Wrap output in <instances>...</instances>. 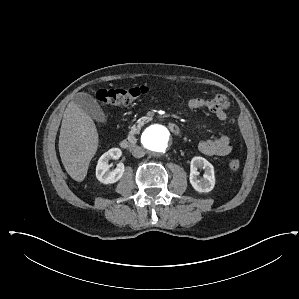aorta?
I'll return each mask as SVG.
<instances>
[{
	"mask_svg": "<svg viewBox=\"0 0 299 299\" xmlns=\"http://www.w3.org/2000/svg\"><path fill=\"white\" fill-rule=\"evenodd\" d=\"M171 143L169 131L161 125H153L142 135V144L151 153L165 152Z\"/></svg>",
	"mask_w": 299,
	"mask_h": 299,
	"instance_id": "obj_1",
	"label": "aorta"
}]
</instances>
